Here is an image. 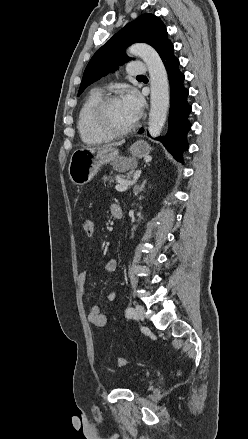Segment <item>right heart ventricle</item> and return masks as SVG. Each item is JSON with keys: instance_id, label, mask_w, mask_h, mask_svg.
Instances as JSON below:
<instances>
[{"instance_id": "obj_1", "label": "right heart ventricle", "mask_w": 248, "mask_h": 439, "mask_svg": "<svg viewBox=\"0 0 248 439\" xmlns=\"http://www.w3.org/2000/svg\"><path fill=\"white\" fill-rule=\"evenodd\" d=\"M101 98L102 93L99 90H92L84 100L78 113L77 129L81 140L86 145H99L113 139L112 136L100 131L92 122V110Z\"/></svg>"}]
</instances>
